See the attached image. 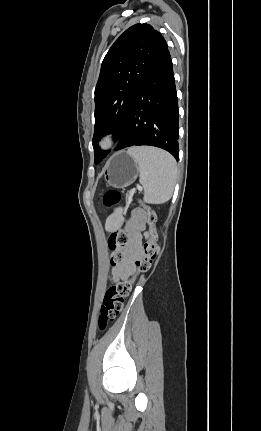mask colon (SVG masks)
<instances>
[{
  "mask_svg": "<svg viewBox=\"0 0 261 431\" xmlns=\"http://www.w3.org/2000/svg\"><path fill=\"white\" fill-rule=\"evenodd\" d=\"M121 200V194L116 190H109L103 196L104 205L112 207ZM148 227L144 231V241L140 255L135 262L136 273L147 272L159 255L156 232V214L147 205L142 207ZM128 241L127 234L122 231H114L108 238V247L111 251L110 261L113 266L121 264L124 260L123 248ZM135 276H130L110 286L104 294L100 310L99 326L104 328L109 322L114 321L123 308L125 298L129 295Z\"/></svg>",
  "mask_w": 261,
  "mask_h": 431,
  "instance_id": "1",
  "label": "colon"
}]
</instances>
